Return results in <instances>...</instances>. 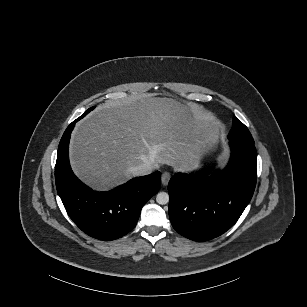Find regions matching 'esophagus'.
<instances>
[{
  "label": "esophagus",
  "mask_w": 307,
  "mask_h": 307,
  "mask_svg": "<svg viewBox=\"0 0 307 307\" xmlns=\"http://www.w3.org/2000/svg\"><path fill=\"white\" fill-rule=\"evenodd\" d=\"M171 174L170 172H163L162 176H161V182L164 186H166L170 180Z\"/></svg>",
  "instance_id": "34e87169"
}]
</instances>
